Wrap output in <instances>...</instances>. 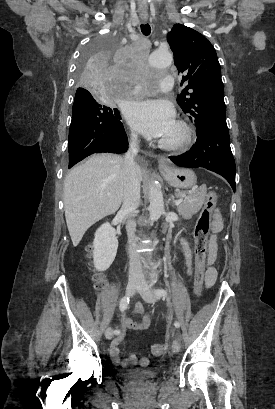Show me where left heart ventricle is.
<instances>
[{
	"mask_svg": "<svg viewBox=\"0 0 275 409\" xmlns=\"http://www.w3.org/2000/svg\"><path fill=\"white\" fill-rule=\"evenodd\" d=\"M176 136H177V129H176L175 125H174L171 128V130L166 135L161 137L160 139L171 140V139H174Z\"/></svg>",
	"mask_w": 275,
	"mask_h": 409,
	"instance_id": "1",
	"label": "left heart ventricle"
}]
</instances>
